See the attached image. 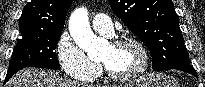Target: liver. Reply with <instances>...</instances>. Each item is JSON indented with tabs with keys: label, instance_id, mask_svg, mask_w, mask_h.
<instances>
[{
	"label": "liver",
	"instance_id": "1",
	"mask_svg": "<svg viewBox=\"0 0 205 87\" xmlns=\"http://www.w3.org/2000/svg\"><path fill=\"white\" fill-rule=\"evenodd\" d=\"M5 87H99L72 81L44 69L25 68L18 71Z\"/></svg>",
	"mask_w": 205,
	"mask_h": 87
}]
</instances>
